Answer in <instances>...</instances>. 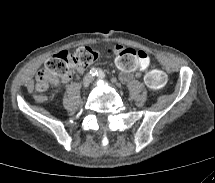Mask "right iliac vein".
<instances>
[{
	"instance_id": "63e3f726",
	"label": "right iliac vein",
	"mask_w": 215,
	"mask_h": 183,
	"mask_svg": "<svg viewBox=\"0 0 215 183\" xmlns=\"http://www.w3.org/2000/svg\"><path fill=\"white\" fill-rule=\"evenodd\" d=\"M90 83H91V78L89 76H87L83 79V87L85 89L89 87Z\"/></svg>"
}]
</instances>
